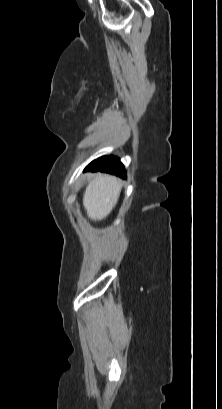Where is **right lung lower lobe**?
<instances>
[{
  "instance_id": "obj_1",
  "label": "right lung lower lobe",
  "mask_w": 222,
  "mask_h": 409,
  "mask_svg": "<svg viewBox=\"0 0 222 409\" xmlns=\"http://www.w3.org/2000/svg\"><path fill=\"white\" fill-rule=\"evenodd\" d=\"M86 171L92 172H107L110 174H114L116 176H120L122 178H126V172L117 157L113 156H104L100 157L94 161H92L85 169Z\"/></svg>"
}]
</instances>
